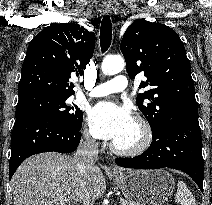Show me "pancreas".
Instances as JSON below:
<instances>
[{
    "label": "pancreas",
    "mask_w": 212,
    "mask_h": 205,
    "mask_svg": "<svg viewBox=\"0 0 212 205\" xmlns=\"http://www.w3.org/2000/svg\"><path fill=\"white\" fill-rule=\"evenodd\" d=\"M120 203H121V205H133L132 203H130L124 199H120Z\"/></svg>",
    "instance_id": "pancreas-1"
}]
</instances>
